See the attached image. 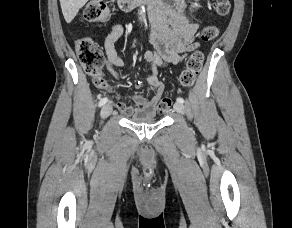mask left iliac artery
Here are the masks:
<instances>
[{"label":"left iliac artery","mask_w":292,"mask_h":228,"mask_svg":"<svg viewBox=\"0 0 292 228\" xmlns=\"http://www.w3.org/2000/svg\"><path fill=\"white\" fill-rule=\"evenodd\" d=\"M176 101H177V102H180V103H184V99H183L182 97H178V98L176 99Z\"/></svg>","instance_id":"44dca946"}]
</instances>
